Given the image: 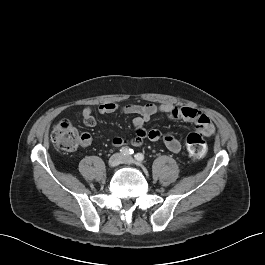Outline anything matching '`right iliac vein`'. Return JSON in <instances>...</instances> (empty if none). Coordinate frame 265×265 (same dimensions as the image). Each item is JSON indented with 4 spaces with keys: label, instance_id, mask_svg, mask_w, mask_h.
<instances>
[{
    "label": "right iliac vein",
    "instance_id": "obj_1",
    "mask_svg": "<svg viewBox=\"0 0 265 265\" xmlns=\"http://www.w3.org/2000/svg\"><path fill=\"white\" fill-rule=\"evenodd\" d=\"M122 155L119 154V153H116V154H113L110 158H109V161H108V165L110 167H116L118 166L121 161H122Z\"/></svg>",
    "mask_w": 265,
    "mask_h": 265
}]
</instances>
